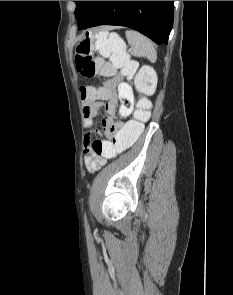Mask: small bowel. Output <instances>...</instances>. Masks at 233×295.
Listing matches in <instances>:
<instances>
[{"instance_id": "obj_1", "label": "small bowel", "mask_w": 233, "mask_h": 295, "mask_svg": "<svg viewBox=\"0 0 233 295\" xmlns=\"http://www.w3.org/2000/svg\"><path fill=\"white\" fill-rule=\"evenodd\" d=\"M133 107L134 95L131 86L119 79L110 80L99 96L83 99L84 124L86 127L93 126L99 110L104 108L107 115L102 119V126L107 133L110 127L120 128L123 124L122 121L116 120V112H119L121 119H126L131 115ZM91 140L92 134L88 133L84 142V165L89 172L93 173L101 169L108 158L92 151Z\"/></svg>"}]
</instances>
